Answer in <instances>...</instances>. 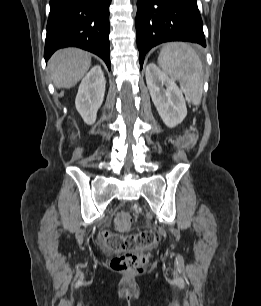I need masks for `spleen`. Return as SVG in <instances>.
Listing matches in <instances>:
<instances>
[{
  "mask_svg": "<svg viewBox=\"0 0 261 306\" xmlns=\"http://www.w3.org/2000/svg\"><path fill=\"white\" fill-rule=\"evenodd\" d=\"M158 65L179 81L186 99L199 105L203 93V66L196 51L186 43H168L159 55Z\"/></svg>",
  "mask_w": 261,
  "mask_h": 306,
  "instance_id": "1",
  "label": "spleen"
}]
</instances>
